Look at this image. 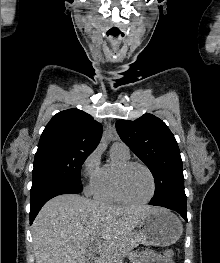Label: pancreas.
Returning a JSON list of instances; mask_svg holds the SVG:
<instances>
[{
  "mask_svg": "<svg viewBox=\"0 0 220 263\" xmlns=\"http://www.w3.org/2000/svg\"><path fill=\"white\" fill-rule=\"evenodd\" d=\"M141 242L140 235L136 232H133L129 234L125 240V242L120 245L118 252L120 254L126 253L128 250L132 249L136 245H138Z\"/></svg>",
  "mask_w": 220,
  "mask_h": 263,
  "instance_id": "obj_1",
  "label": "pancreas"
}]
</instances>
